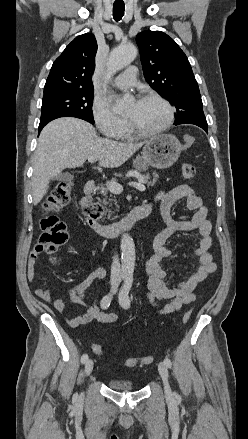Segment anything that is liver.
Segmentation results:
<instances>
[{
    "label": "liver",
    "mask_w": 248,
    "mask_h": 439,
    "mask_svg": "<svg viewBox=\"0 0 248 439\" xmlns=\"http://www.w3.org/2000/svg\"><path fill=\"white\" fill-rule=\"evenodd\" d=\"M144 142H118L97 136L88 122L63 117L51 121L40 133L33 157L32 196L37 205L49 189V180L65 168H76L89 159L116 168L125 163Z\"/></svg>",
    "instance_id": "liver-1"
}]
</instances>
